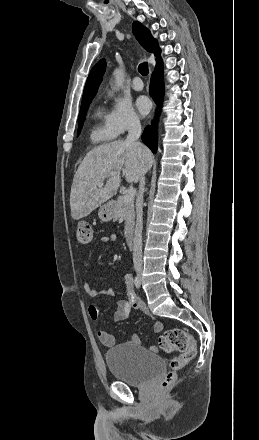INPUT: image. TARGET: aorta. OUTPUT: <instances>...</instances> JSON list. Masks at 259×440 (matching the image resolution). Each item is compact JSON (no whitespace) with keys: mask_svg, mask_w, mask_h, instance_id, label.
<instances>
[{"mask_svg":"<svg viewBox=\"0 0 259 440\" xmlns=\"http://www.w3.org/2000/svg\"><path fill=\"white\" fill-rule=\"evenodd\" d=\"M115 85L113 87L114 91H118L124 83V73L120 68L115 69L114 73Z\"/></svg>","mask_w":259,"mask_h":440,"instance_id":"762f6f07","label":"aorta"}]
</instances>
